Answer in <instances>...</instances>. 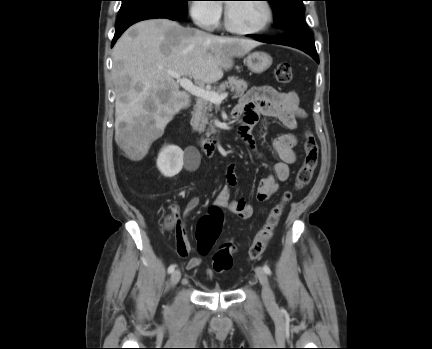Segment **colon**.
Instances as JSON below:
<instances>
[{
	"label": "colon",
	"instance_id": "obj_1",
	"mask_svg": "<svg viewBox=\"0 0 432 349\" xmlns=\"http://www.w3.org/2000/svg\"><path fill=\"white\" fill-rule=\"evenodd\" d=\"M275 78L280 83H289L292 80V69L288 63H279L275 68ZM304 158L296 174L294 190L286 191L280 201L270 210L265 223L255 236L248 249L250 260L258 259L265 251L268 243L274 235V231L284 212L286 205L292 200L294 191L303 190L312 180L318 164L319 147L315 136L309 130L304 134ZM220 208L213 206L211 212L202 217L197 225L196 239L198 251L202 255L210 252L221 230ZM175 219L168 216L165 226L170 228L174 225ZM236 249L235 246L226 243L220 246L212 257L213 269L218 273H224L232 268Z\"/></svg>",
	"mask_w": 432,
	"mask_h": 349
}]
</instances>
